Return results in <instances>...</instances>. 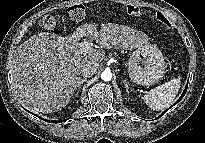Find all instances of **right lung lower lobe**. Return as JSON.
Segmentation results:
<instances>
[{
  "label": "right lung lower lobe",
  "mask_w": 205,
  "mask_h": 143,
  "mask_svg": "<svg viewBox=\"0 0 205 143\" xmlns=\"http://www.w3.org/2000/svg\"><path fill=\"white\" fill-rule=\"evenodd\" d=\"M43 119V118H42ZM43 120H45V121H47V122H50V123H60L61 121H50V120H46V119H43ZM67 120V119H66ZM66 120H63V121H66Z\"/></svg>",
  "instance_id": "right-lung-lower-lobe-1"
}]
</instances>
